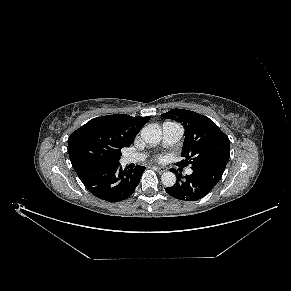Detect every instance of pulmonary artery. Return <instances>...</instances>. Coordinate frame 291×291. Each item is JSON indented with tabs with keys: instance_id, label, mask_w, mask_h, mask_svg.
<instances>
[{
	"instance_id": "1",
	"label": "pulmonary artery",
	"mask_w": 291,
	"mask_h": 291,
	"mask_svg": "<svg viewBox=\"0 0 291 291\" xmlns=\"http://www.w3.org/2000/svg\"><path fill=\"white\" fill-rule=\"evenodd\" d=\"M184 132L183 126L177 122H165L162 125V142L164 145L169 146L177 143L182 137ZM144 159L143 154H126L122 158L123 164H130L141 161ZM188 175L192 174V169L186 170Z\"/></svg>"
}]
</instances>
